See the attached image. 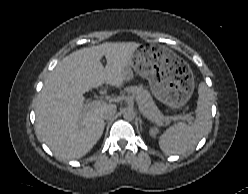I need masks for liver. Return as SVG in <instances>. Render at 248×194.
I'll list each match as a JSON object with an SVG mask.
<instances>
[{
    "label": "liver",
    "mask_w": 248,
    "mask_h": 194,
    "mask_svg": "<svg viewBox=\"0 0 248 194\" xmlns=\"http://www.w3.org/2000/svg\"><path fill=\"white\" fill-rule=\"evenodd\" d=\"M139 46L106 42L82 48L63 58L50 73L37 99L36 131L56 156L79 159L97 143L105 126L104 111L113 104L86 111L83 94L104 83L121 87L129 80L127 68Z\"/></svg>",
    "instance_id": "1"
}]
</instances>
